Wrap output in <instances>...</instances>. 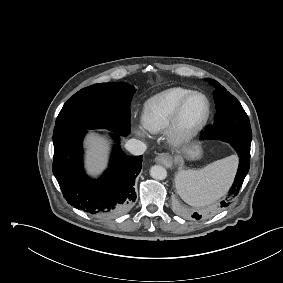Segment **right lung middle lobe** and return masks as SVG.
<instances>
[{"instance_id": "dd1d6c3e", "label": "right lung middle lobe", "mask_w": 283, "mask_h": 283, "mask_svg": "<svg viewBox=\"0 0 283 283\" xmlns=\"http://www.w3.org/2000/svg\"><path fill=\"white\" fill-rule=\"evenodd\" d=\"M134 93V87L124 82L100 83L81 89L64 104L57 117L54 146L88 129L107 128L128 135L129 105Z\"/></svg>"}]
</instances>
